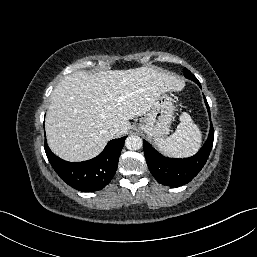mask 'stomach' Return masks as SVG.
Listing matches in <instances>:
<instances>
[{
  "label": "stomach",
  "mask_w": 257,
  "mask_h": 257,
  "mask_svg": "<svg viewBox=\"0 0 257 257\" xmlns=\"http://www.w3.org/2000/svg\"><path fill=\"white\" fill-rule=\"evenodd\" d=\"M174 105L172 98L162 93L156 97L152 107L138 125L148 138H164L170 131Z\"/></svg>",
  "instance_id": "1"
}]
</instances>
